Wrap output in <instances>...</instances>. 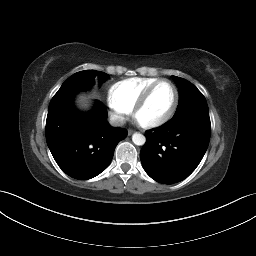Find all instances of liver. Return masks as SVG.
I'll list each match as a JSON object with an SVG mask.
<instances>
[{
    "label": "liver",
    "mask_w": 256,
    "mask_h": 256,
    "mask_svg": "<svg viewBox=\"0 0 256 256\" xmlns=\"http://www.w3.org/2000/svg\"><path fill=\"white\" fill-rule=\"evenodd\" d=\"M88 98L89 97H86L85 95H80L78 97V103L80 104L81 107H84V108L88 107V104H87Z\"/></svg>",
    "instance_id": "6515ba94"
}]
</instances>
